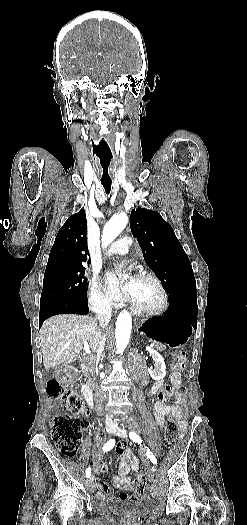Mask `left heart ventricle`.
<instances>
[{
    "mask_svg": "<svg viewBox=\"0 0 247 525\" xmlns=\"http://www.w3.org/2000/svg\"><path fill=\"white\" fill-rule=\"evenodd\" d=\"M133 267L134 266L131 257L124 256L120 258L118 262V269L121 272L128 273V271L132 270ZM137 280L139 287L134 300L150 306L158 305L162 300V293L154 281L145 277H140Z\"/></svg>",
    "mask_w": 247,
    "mask_h": 525,
    "instance_id": "left-heart-ventricle-1",
    "label": "left heart ventricle"
}]
</instances>
